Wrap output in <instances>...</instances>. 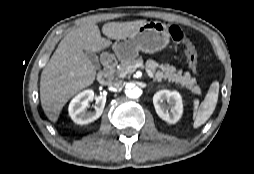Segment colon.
<instances>
[{
    "label": "colon",
    "instance_id": "obj_1",
    "mask_svg": "<svg viewBox=\"0 0 254 174\" xmlns=\"http://www.w3.org/2000/svg\"><path fill=\"white\" fill-rule=\"evenodd\" d=\"M171 39L179 44H182L185 48V53L187 56V61L190 69L193 72H197L198 70V52L191 42V40L185 35L183 30L176 25L170 27L169 30Z\"/></svg>",
    "mask_w": 254,
    "mask_h": 174
}]
</instances>
